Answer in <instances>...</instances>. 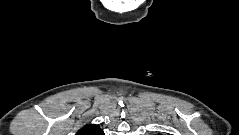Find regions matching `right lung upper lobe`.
I'll return each mask as SVG.
<instances>
[{"mask_svg":"<svg viewBox=\"0 0 239 135\" xmlns=\"http://www.w3.org/2000/svg\"><path fill=\"white\" fill-rule=\"evenodd\" d=\"M76 135H104V133L98 125L87 124Z\"/></svg>","mask_w":239,"mask_h":135,"instance_id":"right-lung-upper-lobe-1","label":"right lung upper lobe"}]
</instances>
